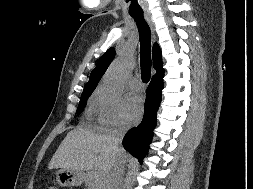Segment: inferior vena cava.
Segmentation results:
<instances>
[{"label": "inferior vena cava", "mask_w": 253, "mask_h": 189, "mask_svg": "<svg viewBox=\"0 0 253 189\" xmlns=\"http://www.w3.org/2000/svg\"><path fill=\"white\" fill-rule=\"evenodd\" d=\"M124 129L116 130L111 136L114 149L117 150L116 159L118 160L112 167L106 178L103 181L102 189H118L122 176L124 175L125 167L129 163L130 151L121 149Z\"/></svg>", "instance_id": "602c4592"}]
</instances>
